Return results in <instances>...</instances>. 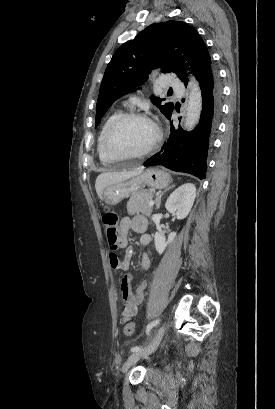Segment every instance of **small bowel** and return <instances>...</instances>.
I'll return each mask as SVG.
<instances>
[{"mask_svg":"<svg viewBox=\"0 0 275 409\" xmlns=\"http://www.w3.org/2000/svg\"><path fill=\"white\" fill-rule=\"evenodd\" d=\"M136 220H145V219L141 217H134L132 219L125 218L120 225L121 239H122V244L125 247V253H124L123 258H118L117 256H114V255L110 256V265L112 269L115 271H126L129 268V264H130V260H131L133 251L130 247H127L128 232L130 228L137 230L134 227V223ZM150 243H151V236L148 234H142L140 237V244L143 247H147L150 245ZM150 265H151V261H150L148 254L143 253L141 256V261H140L141 271H147L150 268ZM129 279H130V276H125L121 279V282H120L121 294H122L123 300L125 301V304L121 311L123 320H128L136 316V314L138 313V307L144 300V294L146 290V282L142 281L138 284L135 293H133L130 289Z\"/></svg>","mask_w":275,"mask_h":409,"instance_id":"small-bowel-1","label":"small bowel"}]
</instances>
